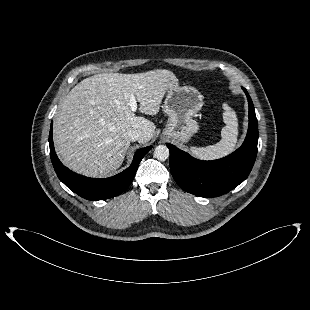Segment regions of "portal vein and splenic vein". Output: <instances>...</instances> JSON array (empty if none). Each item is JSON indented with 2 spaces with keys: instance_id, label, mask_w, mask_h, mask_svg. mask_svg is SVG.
Returning <instances> with one entry per match:
<instances>
[{
  "instance_id": "obj_1",
  "label": "portal vein and splenic vein",
  "mask_w": 310,
  "mask_h": 310,
  "mask_svg": "<svg viewBox=\"0 0 310 310\" xmlns=\"http://www.w3.org/2000/svg\"><path fill=\"white\" fill-rule=\"evenodd\" d=\"M129 105H130V108L133 112H135L137 110V102H136V99H135V96L134 95H131L129 97Z\"/></svg>"
}]
</instances>
